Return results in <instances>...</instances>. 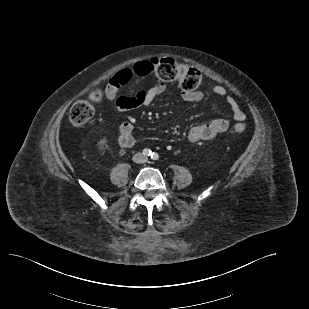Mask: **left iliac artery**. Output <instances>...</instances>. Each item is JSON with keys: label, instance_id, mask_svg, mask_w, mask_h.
Listing matches in <instances>:
<instances>
[{"label": "left iliac artery", "instance_id": "left-iliac-artery-1", "mask_svg": "<svg viewBox=\"0 0 309 309\" xmlns=\"http://www.w3.org/2000/svg\"><path fill=\"white\" fill-rule=\"evenodd\" d=\"M151 158H152L153 160H158L159 155H158L157 153H152Z\"/></svg>", "mask_w": 309, "mask_h": 309}]
</instances>
